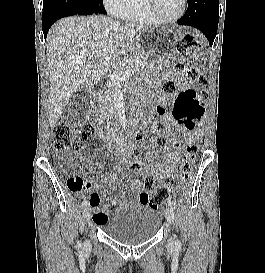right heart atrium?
Instances as JSON below:
<instances>
[{"instance_id": "d8ad5b80", "label": "right heart atrium", "mask_w": 265, "mask_h": 273, "mask_svg": "<svg viewBox=\"0 0 265 273\" xmlns=\"http://www.w3.org/2000/svg\"><path fill=\"white\" fill-rule=\"evenodd\" d=\"M129 3L130 0H103L105 9L115 16H120Z\"/></svg>"}]
</instances>
